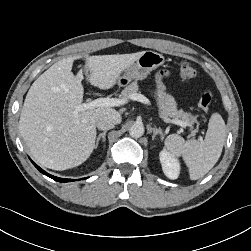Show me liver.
<instances>
[{"instance_id": "obj_1", "label": "liver", "mask_w": 251, "mask_h": 251, "mask_svg": "<svg viewBox=\"0 0 251 251\" xmlns=\"http://www.w3.org/2000/svg\"><path fill=\"white\" fill-rule=\"evenodd\" d=\"M143 53L86 57L88 81L103 90L114 87L121 73ZM76 59L60 60L41 74L30 87L20 115L19 130L31 155L53 170L70 169L89 158L99 117L121 122L120 114L109 107L76 111L84 92L82 72L76 76L71 72Z\"/></svg>"}]
</instances>
